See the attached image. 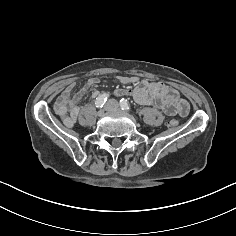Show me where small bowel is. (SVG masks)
I'll return each instance as SVG.
<instances>
[{"mask_svg": "<svg viewBox=\"0 0 236 236\" xmlns=\"http://www.w3.org/2000/svg\"><path fill=\"white\" fill-rule=\"evenodd\" d=\"M118 81L123 85H134L132 90L119 89L117 95L130 94L140 105L152 106L162 110L167 115L186 116L189 104L172 87L153 80H145L136 76H119ZM97 78H90L86 85L76 90L75 83H70L57 97L55 111L64 125L71 127L80 114L79 102L88 91L98 84ZM97 92L94 93V96Z\"/></svg>", "mask_w": 236, "mask_h": 236, "instance_id": "small-bowel-1", "label": "small bowel"}]
</instances>
